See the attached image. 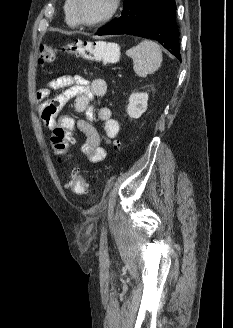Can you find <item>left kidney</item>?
Returning <instances> with one entry per match:
<instances>
[{"mask_svg": "<svg viewBox=\"0 0 233 328\" xmlns=\"http://www.w3.org/2000/svg\"><path fill=\"white\" fill-rule=\"evenodd\" d=\"M148 94L132 93L129 97L127 114L130 118H139L147 109Z\"/></svg>", "mask_w": 233, "mask_h": 328, "instance_id": "obj_1", "label": "left kidney"}]
</instances>
